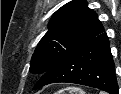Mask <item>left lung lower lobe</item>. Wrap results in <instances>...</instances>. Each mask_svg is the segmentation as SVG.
<instances>
[{
  "label": "left lung lower lobe",
  "mask_w": 121,
  "mask_h": 94,
  "mask_svg": "<svg viewBox=\"0 0 121 94\" xmlns=\"http://www.w3.org/2000/svg\"><path fill=\"white\" fill-rule=\"evenodd\" d=\"M68 82L119 94L114 62L104 32L80 46L43 74L33 90L47 84Z\"/></svg>",
  "instance_id": "obj_1"
}]
</instances>
